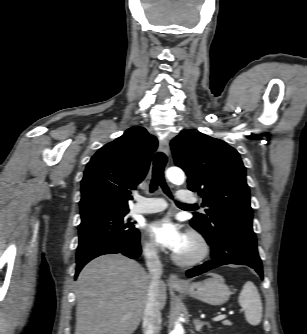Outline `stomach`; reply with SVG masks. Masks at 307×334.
Here are the masks:
<instances>
[{"mask_svg":"<svg viewBox=\"0 0 307 334\" xmlns=\"http://www.w3.org/2000/svg\"><path fill=\"white\" fill-rule=\"evenodd\" d=\"M177 291L215 306L226 303L231 295L223 277L216 274H212L211 277L201 282L191 283L186 289H177Z\"/></svg>","mask_w":307,"mask_h":334,"instance_id":"obj_1","label":"stomach"}]
</instances>
